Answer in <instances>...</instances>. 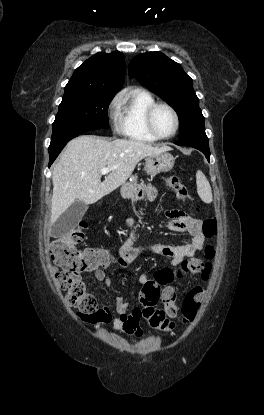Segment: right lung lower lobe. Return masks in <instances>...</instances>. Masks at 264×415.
I'll return each mask as SVG.
<instances>
[{
  "instance_id": "1",
  "label": "right lung lower lobe",
  "mask_w": 264,
  "mask_h": 415,
  "mask_svg": "<svg viewBox=\"0 0 264 415\" xmlns=\"http://www.w3.org/2000/svg\"><path fill=\"white\" fill-rule=\"evenodd\" d=\"M68 141H66L63 144H60L59 146L49 149V167L51 166V164L54 162V160L57 158V156L59 155V153L62 151V149L65 147V145L67 144Z\"/></svg>"
}]
</instances>
